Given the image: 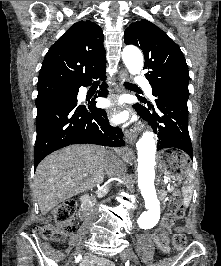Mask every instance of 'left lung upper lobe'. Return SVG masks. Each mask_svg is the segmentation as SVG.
I'll return each mask as SVG.
<instances>
[{
	"instance_id": "obj_1",
	"label": "left lung upper lobe",
	"mask_w": 221,
	"mask_h": 266,
	"mask_svg": "<svg viewBox=\"0 0 221 266\" xmlns=\"http://www.w3.org/2000/svg\"><path fill=\"white\" fill-rule=\"evenodd\" d=\"M124 42L138 46L145 57V74L153 89L189 98L188 67L179 46L146 19L133 22L125 30Z\"/></svg>"
}]
</instances>
